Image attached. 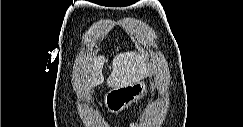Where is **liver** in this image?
I'll return each mask as SVG.
<instances>
[{
    "mask_svg": "<svg viewBox=\"0 0 243 127\" xmlns=\"http://www.w3.org/2000/svg\"><path fill=\"white\" fill-rule=\"evenodd\" d=\"M104 62V56L94 57L91 65L90 87L104 82L102 74ZM150 73L151 68L144 54L133 51L119 53L113 58L112 72L107 79V85L113 88L139 82Z\"/></svg>",
    "mask_w": 243,
    "mask_h": 127,
    "instance_id": "liver-1",
    "label": "liver"
}]
</instances>
